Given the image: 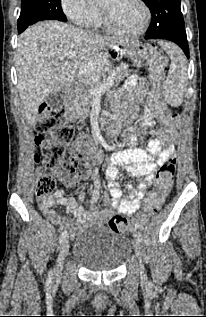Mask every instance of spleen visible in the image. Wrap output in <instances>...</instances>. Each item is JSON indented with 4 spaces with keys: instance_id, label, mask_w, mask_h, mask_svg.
I'll list each match as a JSON object with an SVG mask.
<instances>
[{
    "instance_id": "1",
    "label": "spleen",
    "mask_w": 206,
    "mask_h": 317,
    "mask_svg": "<svg viewBox=\"0 0 206 317\" xmlns=\"http://www.w3.org/2000/svg\"><path fill=\"white\" fill-rule=\"evenodd\" d=\"M159 45L171 59L167 78L163 84L162 94L165 101L174 107L183 102L187 82V63L181 49L173 43L160 41Z\"/></svg>"
}]
</instances>
